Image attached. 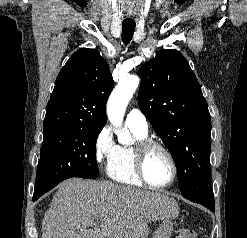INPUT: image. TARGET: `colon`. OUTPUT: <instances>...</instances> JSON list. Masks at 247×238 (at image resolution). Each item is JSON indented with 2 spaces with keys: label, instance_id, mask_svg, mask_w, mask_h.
<instances>
[{
  "label": "colon",
  "instance_id": "obj_1",
  "mask_svg": "<svg viewBox=\"0 0 247 238\" xmlns=\"http://www.w3.org/2000/svg\"><path fill=\"white\" fill-rule=\"evenodd\" d=\"M175 238H198V235L192 229L180 228L176 231Z\"/></svg>",
  "mask_w": 247,
  "mask_h": 238
}]
</instances>
